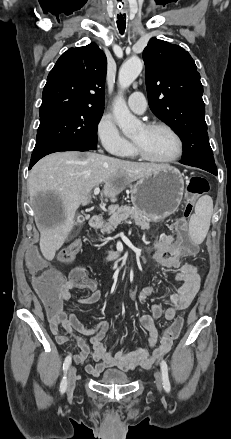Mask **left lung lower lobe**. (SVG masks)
<instances>
[{
  "label": "left lung lower lobe",
  "instance_id": "1",
  "mask_svg": "<svg viewBox=\"0 0 231 439\" xmlns=\"http://www.w3.org/2000/svg\"><path fill=\"white\" fill-rule=\"evenodd\" d=\"M190 166L198 167L200 169L206 170V171L214 174L215 176L217 175V169L216 168H208V167H204V166H201V165H190Z\"/></svg>",
  "mask_w": 231,
  "mask_h": 439
}]
</instances>
